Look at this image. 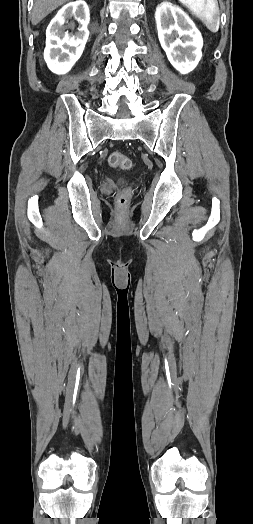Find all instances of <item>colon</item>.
<instances>
[{
	"label": "colon",
	"mask_w": 253,
	"mask_h": 524,
	"mask_svg": "<svg viewBox=\"0 0 253 524\" xmlns=\"http://www.w3.org/2000/svg\"><path fill=\"white\" fill-rule=\"evenodd\" d=\"M108 164L111 167L121 168V169H131L133 167V162L131 159L125 157L119 151H113L108 156ZM131 196V191L129 189L122 190L117 196V203L119 206H126L129 202Z\"/></svg>",
	"instance_id": "obj_1"
}]
</instances>
